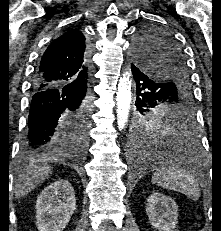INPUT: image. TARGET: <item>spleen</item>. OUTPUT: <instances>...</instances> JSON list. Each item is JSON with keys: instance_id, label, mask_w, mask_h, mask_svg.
Listing matches in <instances>:
<instances>
[{"instance_id": "3e777b00", "label": "spleen", "mask_w": 221, "mask_h": 231, "mask_svg": "<svg viewBox=\"0 0 221 231\" xmlns=\"http://www.w3.org/2000/svg\"><path fill=\"white\" fill-rule=\"evenodd\" d=\"M171 164L173 166H171ZM152 183L166 189L180 192L193 200L200 197V188L195 177L180 165L166 161L151 178Z\"/></svg>"}]
</instances>
